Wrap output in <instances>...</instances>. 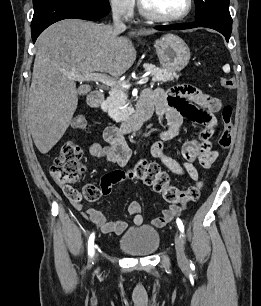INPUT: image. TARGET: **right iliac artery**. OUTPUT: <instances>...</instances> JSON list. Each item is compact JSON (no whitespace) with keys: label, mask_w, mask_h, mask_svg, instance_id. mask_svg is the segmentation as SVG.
Returning <instances> with one entry per match:
<instances>
[{"label":"right iliac artery","mask_w":261,"mask_h":306,"mask_svg":"<svg viewBox=\"0 0 261 306\" xmlns=\"http://www.w3.org/2000/svg\"><path fill=\"white\" fill-rule=\"evenodd\" d=\"M94 239H95V233L93 232L88 240V255H89V259L90 261H92V258L94 256L95 250H94ZM93 264V261H92Z\"/></svg>","instance_id":"82829eb1"}]
</instances>
